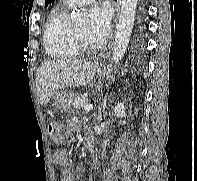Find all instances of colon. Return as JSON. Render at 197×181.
Returning a JSON list of instances; mask_svg holds the SVG:
<instances>
[{
    "label": "colon",
    "instance_id": "5ec220e1",
    "mask_svg": "<svg viewBox=\"0 0 197 181\" xmlns=\"http://www.w3.org/2000/svg\"><path fill=\"white\" fill-rule=\"evenodd\" d=\"M48 132L54 140L60 141L62 139V130L60 124L56 122L50 123L48 125Z\"/></svg>",
    "mask_w": 197,
    "mask_h": 181
}]
</instances>
